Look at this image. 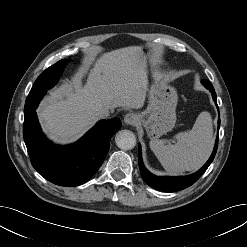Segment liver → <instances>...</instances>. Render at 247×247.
I'll return each instance as SVG.
<instances>
[{
    "mask_svg": "<svg viewBox=\"0 0 247 247\" xmlns=\"http://www.w3.org/2000/svg\"><path fill=\"white\" fill-rule=\"evenodd\" d=\"M147 93L146 62L140 47L130 46L100 56L88 74L47 96L37 114L48 135L61 143L75 141L99 119L100 109L142 108Z\"/></svg>",
    "mask_w": 247,
    "mask_h": 247,
    "instance_id": "liver-1",
    "label": "liver"
}]
</instances>
